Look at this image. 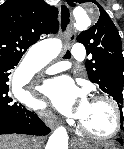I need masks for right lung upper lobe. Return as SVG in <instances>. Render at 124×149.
Listing matches in <instances>:
<instances>
[{"mask_svg":"<svg viewBox=\"0 0 124 149\" xmlns=\"http://www.w3.org/2000/svg\"><path fill=\"white\" fill-rule=\"evenodd\" d=\"M58 10L43 0H7L0 6V63L19 62L27 49L49 33Z\"/></svg>","mask_w":124,"mask_h":149,"instance_id":"cb5924a9","label":"right lung upper lobe"}]
</instances>
